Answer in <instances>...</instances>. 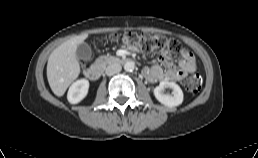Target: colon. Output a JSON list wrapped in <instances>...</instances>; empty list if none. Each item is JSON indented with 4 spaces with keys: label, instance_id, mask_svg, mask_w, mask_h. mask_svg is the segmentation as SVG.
<instances>
[{
    "label": "colon",
    "instance_id": "colon-1",
    "mask_svg": "<svg viewBox=\"0 0 258 158\" xmlns=\"http://www.w3.org/2000/svg\"><path fill=\"white\" fill-rule=\"evenodd\" d=\"M112 41L121 42L124 46L139 49L143 52H162L169 54H182L184 48L172 38L148 33L126 32L114 34ZM202 87V79L199 75L188 77L184 82V88L190 93H197Z\"/></svg>",
    "mask_w": 258,
    "mask_h": 158
}]
</instances>
